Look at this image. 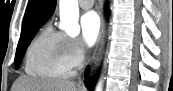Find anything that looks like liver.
<instances>
[{
	"mask_svg": "<svg viewBox=\"0 0 173 91\" xmlns=\"http://www.w3.org/2000/svg\"><path fill=\"white\" fill-rule=\"evenodd\" d=\"M12 91H84L68 80L39 79L21 76L13 86Z\"/></svg>",
	"mask_w": 173,
	"mask_h": 91,
	"instance_id": "obj_1",
	"label": "liver"
}]
</instances>
